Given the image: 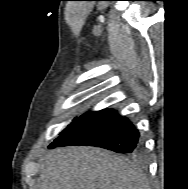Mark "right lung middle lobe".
I'll return each instance as SVG.
<instances>
[{"label":"right lung middle lobe","instance_id":"dd1d6c3e","mask_svg":"<svg viewBox=\"0 0 188 189\" xmlns=\"http://www.w3.org/2000/svg\"><path fill=\"white\" fill-rule=\"evenodd\" d=\"M79 118L74 119L73 122L70 125H68L67 128L64 129L59 135L63 134L66 130H68Z\"/></svg>","mask_w":188,"mask_h":189}]
</instances>
